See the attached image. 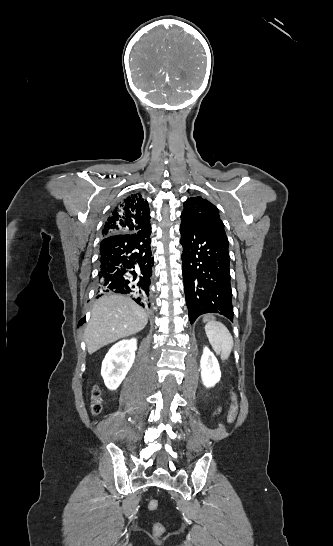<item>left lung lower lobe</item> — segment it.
Listing matches in <instances>:
<instances>
[{
    "label": "left lung lower lobe",
    "mask_w": 333,
    "mask_h": 546,
    "mask_svg": "<svg viewBox=\"0 0 333 546\" xmlns=\"http://www.w3.org/2000/svg\"><path fill=\"white\" fill-rule=\"evenodd\" d=\"M182 274L192 323L202 314L233 320L230 256L223 228L202 226L181 217Z\"/></svg>",
    "instance_id": "0a47b994"
}]
</instances>
